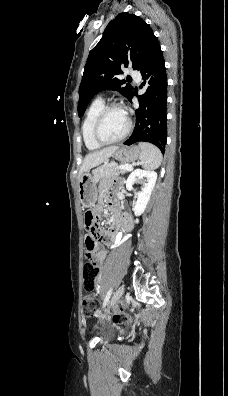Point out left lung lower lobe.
<instances>
[{"mask_svg":"<svg viewBox=\"0 0 228 396\" xmlns=\"http://www.w3.org/2000/svg\"><path fill=\"white\" fill-rule=\"evenodd\" d=\"M140 72L143 79L142 87L145 86L146 92L138 97L135 128L124 144L150 142L164 153L167 140V75L157 38ZM134 95L135 93H132L129 100H132Z\"/></svg>","mask_w":228,"mask_h":396,"instance_id":"0a47b994","label":"left lung lower lobe"}]
</instances>
